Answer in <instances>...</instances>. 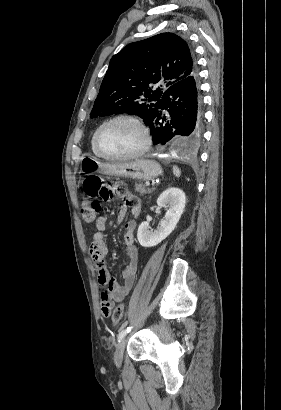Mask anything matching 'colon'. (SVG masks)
<instances>
[{
	"instance_id": "1",
	"label": "colon",
	"mask_w": 281,
	"mask_h": 410,
	"mask_svg": "<svg viewBox=\"0 0 281 410\" xmlns=\"http://www.w3.org/2000/svg\"><path fill=\"white\" fill-rule=\"evenodd\" d=\"M127 193L126 186L118 183L113 188H109L105 181L99 176H89L83 182V200H82V217L90 223L95 219L99 211V200H108L115 194L125 196ZM107 313V310H104ZM125 315V305H118L112 314V323L114 326L120 324Z\"/></svg>"
}]
</instances>
